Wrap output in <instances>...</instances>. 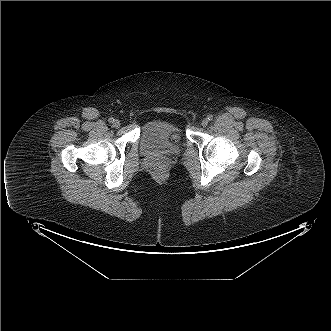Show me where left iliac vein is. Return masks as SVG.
<instances>
[{"instance_id":"1","label":"left iliac vein","mask_w":331,"mask_h":331,"mask_svg":"<svg viewBox=\"0 0 331 331\" xmlns=\"http://www.w3.org/2000/svg\"><path fill=\"white\" fill-rule=\"evenodd\" d=\"M209 121L207 119H203L202 122H201V125L203 127H206L208 125Z\"/></svg>"}]
</instances>
